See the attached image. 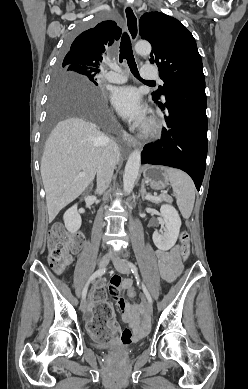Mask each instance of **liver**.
<instances>
[{"label": "liver", "instance_id": "1", "mask_svg": "<svg viewBox=\"0 0 248 389\" xmlns=\"http://www.w3.org/2000/svg\"><path fill=\"white\" fill-rule=\"evenodd\" d=\"M87 92L94 94L91 89ZM108 139L92 122L79 117L65 119L52 130L40 166L50 222L94 180ZM119 158L120 153L117 162ZM81 171L84 177L78 176Z\"/></svg>", "mask_w": 248, "mask_h": 389}]
</instances>
